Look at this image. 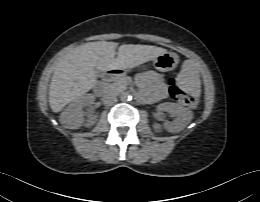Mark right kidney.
Here are the masks:
<instances>
[{
    "mask_svg": "<svg viewBox=\"0 0 260 202\" xmlns=\"http://www.w3.org/2000/svg\"><path fill=\"white\" fill-rule=\"evenodd\" d=\"M94 101V96L91 94H86L75 101H73L60 116L61 124L68 129H78L84 123L85 112L82 110L84 106L92 104ZM96 115L89 117L85 123L86 127H91L96 122Z\"/></svg>",
    "mask_w": 260,
    "mask_h": 202,
    "instance_id": "right-kidney-1",
    "label": "right kidney"
}]
</instances>
